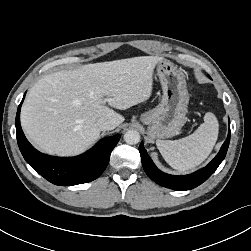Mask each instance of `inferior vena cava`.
<instances>
[{
	"mask_svg": "<svg viewBox=\"0 0 251 251\" xmlns=\"http://www.w3.org/2000/svg\"><path fill=\"white\" fill-rule=\"evenodd\" d=\"M97 125L102 131L112 130L116 127L111 120L105 118H99L97 120Z\"/></svg>",
	"mask_w": 251,
	"mask_h": 251,
	"instance_id": "inferior-vena-cava-1",
	"label": "inferior vena cava"
}]
</instances>
